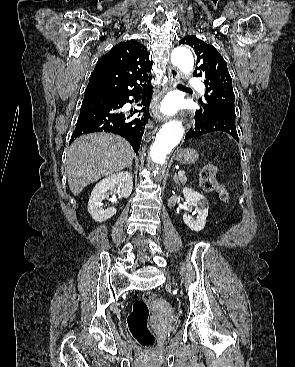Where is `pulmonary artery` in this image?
<instances>
[{
    "mask_svg": "<svg viewBox=\"0 0 295 367\" xmlns=\"http://www.w3.org/2000/svg\"><path fill=\"white\" fill-rule=\"evenodd\" d=\"M189 85L193 88L199 89V90H204V84L198 80L197 78H191L189 80Z\"/></svg>",
    "mask_w": 295,
    "mask_h": 367,
    "instance_id": "obj_1",
    "label": "pulmonary artery"
}]
</instances>
